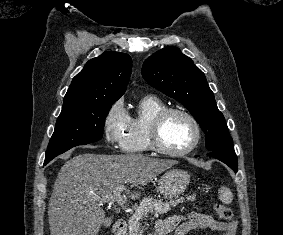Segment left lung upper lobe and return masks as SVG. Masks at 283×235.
Returning a JSON list of instances; mask_svg holds the SVG:
<instances>
[{"mask_svg":"<svg viewBox=\"0 0 283 235\" xmlns=\"http://www.w3.org/2000/svg\"><path fill=\"white\" fill-rule=\"evenodd\" d=\"M142 76L149 85L189 110L205 133L208 150H234L225 118L204 73L179 48L167 47L147 58Z\"/></svg>","mask_w":283,"mask_h":235,"instance_id":"1","label":"left lung upper lobe"}]
</instances>
